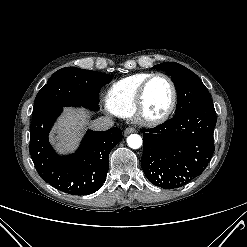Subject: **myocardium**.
<instances>
[{
    "instance_id": "1",
    "label": "myocardium",
    "mask_w": 247,
    "mask_h": 247,
    "mask_svg": "<svg viewBox=\"0 0 247 247\" xmlns=\"http://www.w3.org/2000/svg\"><path fill=\"white\" fill-rule=\"evenodd\" d=\"M157 77L165 78L169 82L171 89H172V100H171V104L169 108L166 110L165 113H163L159 117L150 118V117L145 116L143 112L145 95H146V90H147L149 83ZM177 99H178V91H177V87L173 79L165 73H153L143 81V83L141 84L138 90V93L135 99L133 113H132L133 118L135 119L136 122L144 126L154 127V126L160 125L164 123L166 120H168L169 117L174 112L176 104H177Z\"/></svg>"
}]
</instances>
